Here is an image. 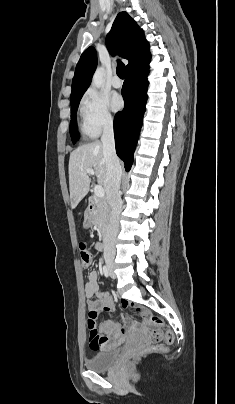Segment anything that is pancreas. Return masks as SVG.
Masks as SVG:
<instances>
[{
    "instance_id": "1",
    "label": "pancreas",
    "mask_w": 235,
    "mask_h": 404,
    "mask_svg": "<svg viewBox=\"0 0 235 404\" xmlns=\"http://www.w3.org/2000/svg\"><path fill=\"white\" fill-rule=\"evenodd\" d=\"M109 208L105 199L95 200V208L91 212L92 223L98 227L100 233L104 235L108 221Z\"/></svg>"
}]
</instances>
